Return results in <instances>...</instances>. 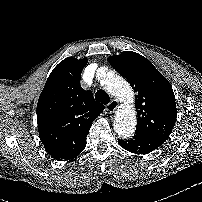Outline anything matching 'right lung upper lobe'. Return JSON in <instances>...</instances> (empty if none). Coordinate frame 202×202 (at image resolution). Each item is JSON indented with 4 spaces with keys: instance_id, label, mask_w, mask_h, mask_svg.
<instances>
[{
    "instance_id": "right-lung-upper-lobe-1",
    "label": "right lung upper lobe",
    "mask_w": 202,
    "mask_h": 202,
    "mask_svg": "<svg viewBox=\"0 0 202 202\" xmlns=\"http://www.w3.org/2000/svg\"><path fill=\"white\" fill-rule=\"evenodd\" d=\"M87 59L68 57L49 75L37 105L39 135L45 150L56 160H70L82 149L90 126L104 106L90 90H83L80 75Z\"/></svg>"
}]
</instances>
